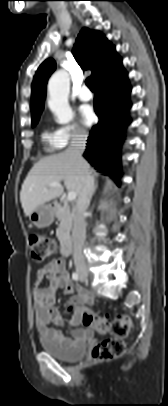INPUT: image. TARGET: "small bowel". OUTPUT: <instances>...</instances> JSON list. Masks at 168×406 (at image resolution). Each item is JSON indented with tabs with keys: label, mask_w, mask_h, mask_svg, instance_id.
<instances>
[{
	"label": "small bowel",
	"mask_w": 168,
	"mask_h": 406,
	"mask_svg": "<svg viewBox=\"0 0 168 406\" xmlns=\"http://www.w3.org/2000/svg\"><path fill=\"white\" fill-rule=\"evenodd\" d=\"M44 279L48 280V285L40 288L39 284ZM59 289H62L66 294L76 292V295L69 300L73 307V315L69 325L72 328L74 339H79L89 333L76 327L82 322V314L87 312L85 306L94 303V296L71 282L66 263L61 258L50 261L36 272L33 308L37 330L41 336L53 343L70 346L73 344V339L65 337L61 332L52 328V325L64 324L61 312L56 306V295Z\"/></svg>",
	"instance_id": "c3829d8e"
}]
</instances>
